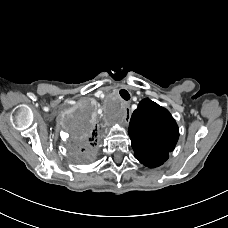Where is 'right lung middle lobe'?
<instances>
[{
	"label": "right lung middle lobe",
	"instance_id": "right-lung-middle-lobe-1",
	"mask_svg": "<svg viewBox=\"0 0 228 228\" xmlns=\"http://www.w3.org/2000/svg\"><path fill=\"white\" fill-rule=\"evenodd\" d=\"M78 121L80 122L79 127H75L71 130L74 140L78 145L88 144L87 138L91 130V127L94 124V120L91 117L81 115Z\"/></svg>",
	"mask_w": 228,
	"mask_h": 228
}]
</instances>
